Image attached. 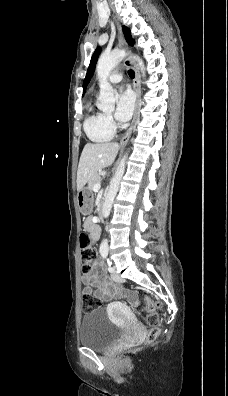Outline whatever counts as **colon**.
<instances>
[{"instance_id":"colon-1","label":"colon","mask_w":228,"mask_h":396,"mask_svg":"<svg viewBox=\"0 0 228 396\" xmlns=\"http://www.w3.org/2000/svg\"><path fill=\"white\" fill-rule=\"evenodd\" d=\"M79 248L82 261V269L85 275H89L90 270L95 262V256L89 246V236L82 232L79 236ZM159 303H154L150 297L145 299V322L149 327L144 337V343L153 342L160 332V317L155 311ZM101 307V301L91 293H84L82 297V309L84 312H91Z\"/></svg>"}]
</instances>
